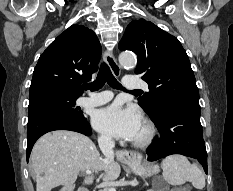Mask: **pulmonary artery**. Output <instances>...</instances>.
Wrapping results in <instances>:
<instances>
[{
  "label": "pulmonary artery",
  "mask_w": 233,
  "mask_h": 191,
  "mask_svg": "<svg viewBox=\"0 0 233 191\" xmlns=\"http://www.w3.org/2000/svg\"><path fill=\"white\" fill-rule=\"evenodd\" d=\"M123 85L128 89L144 88L147 89V84L137 76L128 75L123 80ZM113 97L110 91H102L98 93H88L87 96L81 97L78 103L85 107H95L109 102Z\"/></svg>",
  "instance_id": "1"
}]
</instances>
